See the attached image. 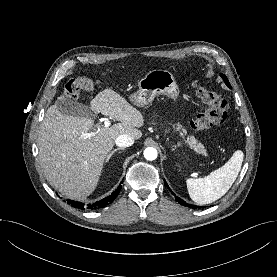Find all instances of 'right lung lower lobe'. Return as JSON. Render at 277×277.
<instances>
[{
	"mask_svg": "<svg viewBox=\"0 0 277 277\" xmlns=\"http://www.w3.org/2000/svg\"><path fill=\"white\" fill-rule=\"evenodd\" d=\"M121 184H122V182H121ZM121 184L119 185L118 189L116 191H114L110 196H108V197H106V198H104V199H102L100 201H97L96 203L85 205L84 203L75 202V201H72V200H68L67 203L70 204L71 206L75 207V208L83 209V210H85V209L96 210V209H100V208L106 207L107 205L112 203V201L119 194V191L122 188Z\"/></svg>",
	"mask_w": 277,
	"mask_h": 277,
	"instance_id": "98d812e1",
	"label": "right lung lower lobe"
}]
</instances>
